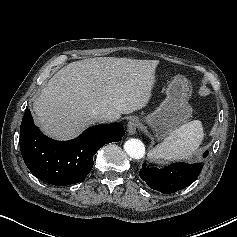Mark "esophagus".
<instances>
[{
	"mask_svg": "<svg viewBox=\"0 0 237 237\" xmlns=\"http://www.w3.org/2000/svg\"><path fill=\"white\" fill-rule=\"evenodd\" d=\"M128 131L131 135H134L137 133V129L139 127V120L137 118H131L127 124Z\"/></svg>",
	"mask_w": 237,
	"mask_h": 237,
	"instance_id": "esophagus-1",
	"label": "esophagus"
}]
</instances>
